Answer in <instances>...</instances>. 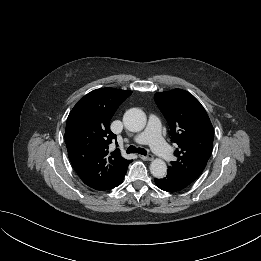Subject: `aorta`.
Wrapping results in <instances>:
<instances>
[{
	"label": "aorta",
	"mask_w": 261,
	"mask_h": 261,
	"mask_svg": "<svg viewBox=\"0 0 261 261\" xmlns=\"http://www.w3.org/2000/svg\"><path fill=\"white\" fill-rule=\"evenodd\" d=\"M146 121L145 113L139 108H131L123 116L124 126L132 132L143 130ZM150 172L156 178H163L167 174V165L161 159H154L150 164Z\"/></svg>",
	"instance_id": "aorta-1"
}]
</instances>
